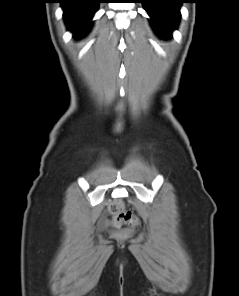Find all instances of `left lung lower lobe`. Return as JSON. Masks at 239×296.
<instances>
[{
	"label": "left lung lower lobe",
	"instance_id": "0a47b994",
	"mask_svg": "<svg viewBox=\"0 0 239 296\" xmlns=\"http://www.w3.org/2000/svg\"><path fill=\"white\" fill-rule=\"evenodd\" d=\"M150 16L155 32L163 38L172 36L180 19V7L184 0H141Z\"/></svg>",
	"mask_w": 239,
	"mask_h": 296
}]
</instances>
